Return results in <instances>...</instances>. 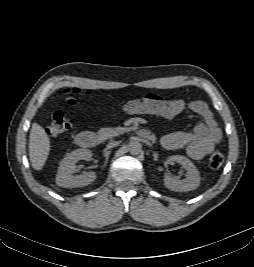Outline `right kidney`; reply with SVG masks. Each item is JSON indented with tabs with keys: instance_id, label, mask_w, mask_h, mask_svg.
I'll return each mask as SVG.
<instances>
[{
	"instance_id": "right-kidney-1",
	"label": "right kidney",
	"mask_w": 254,
	"mask_h": 267,
	"mask_svg": "<svg viewBox=\"0 0 254 267\" xmlns=\"http://www.w3.org/2000/svg\"><path fill=\"white\" fill-rule=\"evenodd\" d=\"M92 152L88 149H77L68 153L60 162L56 175V184L64 188H74L87 186L94 182L96 174L94 172H84L81 175H73L75 164L80 160H89Z\"/></svg>"
}]
</instances>
